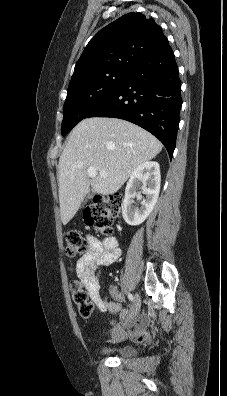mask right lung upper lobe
<instances>
[{
	"label": "right lung upper lobe",
	"mask_w": 227,
	"mask_h": 396,
	"mask_svg": "<svg viewBox=\"0 0 227 396\" xmlns=\"http://www.w3.org/2000/svg\"><path fill=\"white\" fill-rule=\"evenodd\" d=\"M168 44L153 18L136 12L125 14L90 40L76 63L69 87L108 70H132Z\"/></svg>",
	"instance_id": "right-lung-upper-lobe-1"
}]
</instances>
